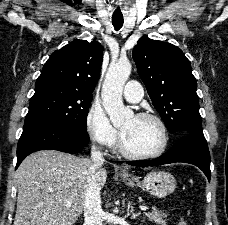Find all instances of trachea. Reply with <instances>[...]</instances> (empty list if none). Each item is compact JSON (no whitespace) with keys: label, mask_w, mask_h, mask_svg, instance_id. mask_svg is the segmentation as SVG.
<instances>
[{"label":"trachea","mask_w":228,"mask_h":225,"mask_svg":"<svg viewBox=\"0 0 228 225\" xmlns=\"http://www.w3.org/2000/svg\"><path fill=\"white\" fill-rule=\"evenodd\" d=\"M112 23L115 29L119 30L123 25V18H113Z\"/></svg>","instance_id":"trachea-1"}]
</instances>
